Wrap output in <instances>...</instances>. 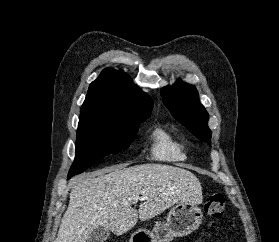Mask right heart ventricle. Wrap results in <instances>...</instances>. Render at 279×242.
<instances>
[{
    "instance_id": "1",
    "label": "right heart ventricle",
    "mask_w": 279,
    "mask_h": 242,
    "mask_svg": "<svg viewBox=\"0 0 279 242\" xmlns=\"http://www.w3.org/2000/svg\"><path fill=\"white\" fill-rule=\"evenodd\" d=\"M151 155L155 160L180 163L188 158L185 144L167 127L157 125L151 132Z\"/></svg>"
}]
</instances>
